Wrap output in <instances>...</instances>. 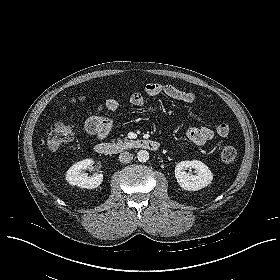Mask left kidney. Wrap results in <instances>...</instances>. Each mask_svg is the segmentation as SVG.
Segmentation results:
<instances>
[{"mask_svg": "<svg viewBox=\"0 0 280 280\" xmlns=\"http://www.w3.org/2000/svg\"><path fill=\"white\" fill-rule=\"evenodd\" d=\"M187 168H193L196 174L185 172ZM175 178L184 190L197 191L211 183L213 174L201 161H181L175 167Z\"/></svg>", "mask_w": 280, "mask_h": 280, "instance_id": "left-kidney-1", "label": "left kidney"}]
</instances>
